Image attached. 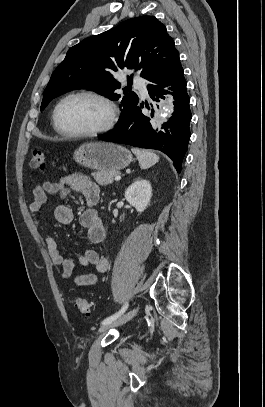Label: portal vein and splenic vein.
<instances>
[{
  "instance_id": "1",
  "label": "portal vein and splenic vein",
  "mask_w": 265,
  "mask_h": 407,
  "mask_svg": "<svg viewBox=\"0 0 265 407\" xmlns=\"http://www.w3.org/2000/svg\"><path fill=\"white\" fill-rule=\"evenodd\" d=\"M120 179H121V176H120V175L115 176V180H116V181H119Z\"/></svg>"
}]
</instances>
